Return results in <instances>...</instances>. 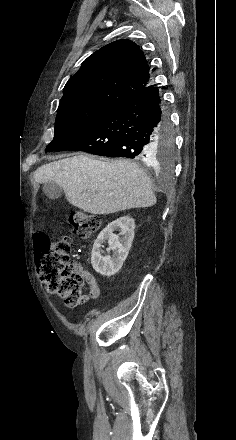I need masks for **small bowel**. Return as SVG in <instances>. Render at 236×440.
<instances>
[{
  "label": "small bowel",
  "instance_id": "small-bowel-1",
  "mask_svg": "<svg viewBox=\"0 0 236 440\" xmlns=\"http://www.w3.org/2000/svg\"><path fill=\"white\" fill-rule=\"evenodd\" d=\"M76 265L82 271L85 281L89 286V293L87 299H91V300L97 299L100 296L101 290L95 277L89 271L83 269V267L80 264H76Z\"/></svg>",
  "mask_w": 236,
  "mask_h": 440
}]
</instances>
